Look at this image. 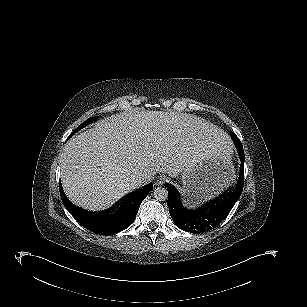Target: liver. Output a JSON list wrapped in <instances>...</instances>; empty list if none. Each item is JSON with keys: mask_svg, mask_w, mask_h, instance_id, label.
I'll return each mask as SVG.
<instances>
[{"mask_svg": "<svg viewBox=\"0 0 307 307\" xmlns=\"http://www.w3.org/2000/svg\"><path fill=\"white\" fill-rule=\"evenodd\" d=\"M220 138L214 125L192 115L135 110L114 114L67 142L62 186L75 205L103 210L133 190V178L149 183L156 173L177 177L212 156Z\"/></svg>", "mask_w": 307, "mask_h": 307, "instance_id": "6515ba94", "label": "liver"}]
</instances>
